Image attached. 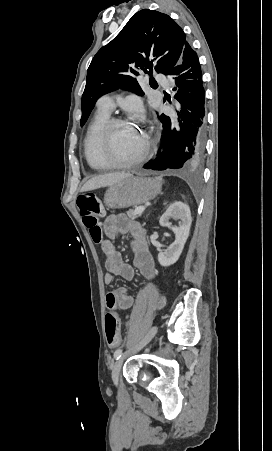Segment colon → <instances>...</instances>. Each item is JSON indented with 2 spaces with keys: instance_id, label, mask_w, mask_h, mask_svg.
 <instances>
[{
  "instance_id": "obj_1",
  "label": "colon",
  "mask_w": 272,
  "mask_h": 451,
  "mask_svg": "<svg viewBox=\"0 0 272 451\" xmlns=\"http://www.w3.org/2000/svg\"><path fill=\"white\" fill-rule=\"evenodd\" d=\"M76 204L79 207L80 215L82 217L83 223L87 227H91V236L96 241L99 242L102 238V233L98 227L99 218L103 216L102 199L92 193H86L79 195L76 199ZM104 331L109 345L113 347H118L120 345V340L117 338L119 334L118 320L113 314H106L104 321Z\"/></svg>"
}]
</instances>
